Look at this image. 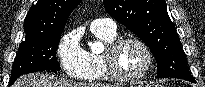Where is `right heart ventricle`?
I'll use <instances>...</instances> for the list:
<instances>
[{
	"mask_svg": "<svg viewBox=\"0 0 205 87\" xmlns=\"http://www.w3.org/2000/svg\"><path fill=\"white\" fill-rule=\"evenodd\" d=\"M91 32L98 39H100L106 44H109L117 39L116 32L94 31V30H91ZM86 57H87V69L84 75L80 77L81 80L87 82H103V81L111 80L105 68L101 54L95 52H86Z\"/></svg>",
	"mask_w": 205,
	"mask_h": 87,
	"instance_id": "obj_1",
	"label": "right heart ventricle"
}]
</instances>
